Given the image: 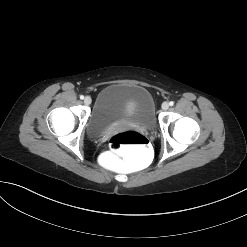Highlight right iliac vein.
Instances as JSON below:
<instances>
[{"mask_svg": "<svg viewBox=\"0 0 247 247\" xmlns=\"http://www.w3.org/2000/svg\"><path fill=\"white\" fill-rule=\"evenodd\" d=\"M91 97H89V96H86L85 98H84V103H85V105H90L91 104Z\"/></svg>", "mask_w": 247, "mask_h": 247, "instance_id": "63e3f726", "label": "right iliac vein"}]
</instances>
